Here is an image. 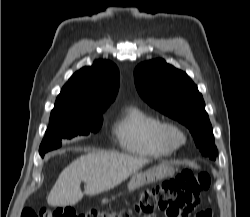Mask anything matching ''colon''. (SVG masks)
<instances>
[{
	"mask_svg": "<svg viewBox=\"0 0 250 217\" xmlns=\"http://www.w3.org/2000/svg\"><path fill=\"white\" fill-rule=\"evenodd\" d=\"M210 177L206 172L183 170L174 178L144 190L139 196L134 212L150 215L155 211L163 212L166 217H181L200 203L201 195L209 188ZM211 217L208 209L200 210L195 217ZM21 217H130L128 213L116 214L109 210H91L76 214L69 208H53L39 212L25 208Z\"/></svg>",
	"mask_w": 250,
	"mask_h": 217,
	"instance_id": "1",
	"label": "colon"
}]
</instances>
